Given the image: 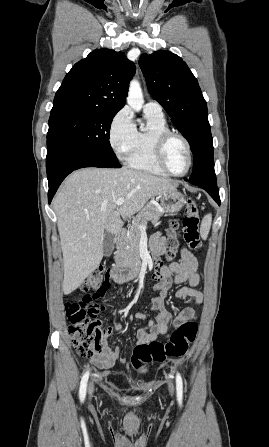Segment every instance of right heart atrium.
Returning <instances> with one entry per match:
<instances>
[{
    "label": "right heart atrium",
    "instance_id": "right-heart-atrium-1",
    "mask_svg": "<svg viewBox=\"0 0 269 447\" xmlns=\"http://www.w3.org/2000/svg\"><path fill=\"white\" fill-rule=\"evenodd\" d=\"M136 128L133 115L128 107L121 108L111 119L108 141L117 157L123 160L128 156Z\"/></svg>",
    "mask_w": 269,
    "mask_h": 447
}]
</instances>
